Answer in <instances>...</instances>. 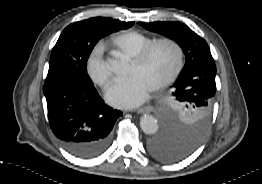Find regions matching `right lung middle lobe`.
<instances>
[{
  "label": "right lung middle lobe",
  "mask_w": 262,
  "mask_h": 184,
  "mask_svg": "<svg viewBox=\"0 0 262 184\" xmlns=\"http://www.w3.org/2000/svg\"><path fill=\"white\" fill-rule=\"evenodd\" d=\"M133 24L95 17L67 26L52 50L45 83L69 79L93 85L87 74L86 62L95 44L102 37Z\"/></svg>",
  "instance_id": "right-lung-middle-lobe-1"
}]
</instances>
